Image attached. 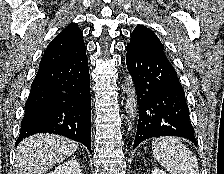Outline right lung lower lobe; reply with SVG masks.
<instances>
[{
  "label": "right lung lower lobe",
  "mask_w": 224,
  "mask_h": 174,
  "mask_svg": "<svg viewBox=\"0 0 224 174\" xmlns=\"http://www.w3.org/2000/svg\"><path fill=\"white\" fill-rule=\"evenodd\" d=\"M36 133L68 137L91 152V94L86 54L39 67L25 103L16 146Z\"/></svg>",
  "instance_id": "obj_1"
}]
</instances>
